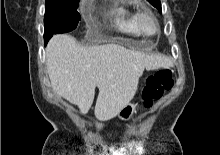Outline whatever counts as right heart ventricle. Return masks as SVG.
I'll use <instances>...</instances> for the list:
<instances>
[{
	"label": "right heart ventricle",
	"mask_w": 220,
	"mask_h": 155,
	"mask_svg": "<svg viewBox=\"0 0 220 155\" xmlns=\"http://www.w3.org/2000/svg\"><path fill=\"white\" fill-rule=\"evenodd\" d=\"M106 15L117 32L131 36L140 34L135 26L133 8L116 3L108 8Z\"/></svg>",
	"instance_id": "e07e8e85"
}]
</instances>
